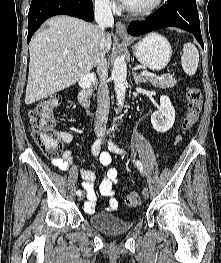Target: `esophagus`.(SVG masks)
Returning <instances> with one entry per match:
<instances>
[{"mask_svg":"<svg viewBox=\"0 0 221 263\" xmlns=\"http://www.w3.org/2000/svg\"><path fill=\"white\" fill-rule=\"evenodd\" d=\"M116 34H117L118 37L124 38V39H127V38L130 37L128 35V33H127L126 25L124 23H122V22H117V24H116Z\"/></svg>","mask_w":221,"mask_h":263,"instance_id":"esophagus-1","label":"esophagus"}]
</instances>
